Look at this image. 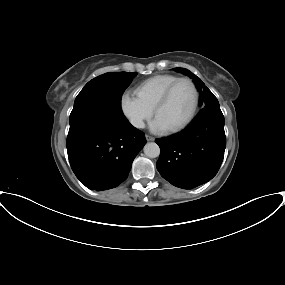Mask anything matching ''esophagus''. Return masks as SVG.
<instances>
[{
	"label": "esophagus",
	"instance_id": "34e87169",
	"mask_svg": "<svg viewBox=\"0 0 285 285\" xmlns=\"http://www.w3.org/2000/svg\"><path fill=\"white\" fill-rule=\"evenodd\" d=\"M145 137H146L147 141H154L155 140V138L150 136V135H146Z\"/></svg>",
	"mask_w": 285,
	"mask_h": 285
}]
</instances>
